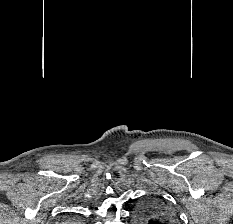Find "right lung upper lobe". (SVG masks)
<instances>
[{"label":"right lung upper lobe","mask_w":233,"mask_h":224,"mask_svg":"<svg viewBox=\"0 0 233 224\" xmlns=\"http://www.w3.org/2000/svg\"><path fill=\"white\" fill-rule=\"evenodd\" d=\"M78 220H70V222H77Z\"/></svg>","instance_id":"cb5924a9"}]
</instances>
